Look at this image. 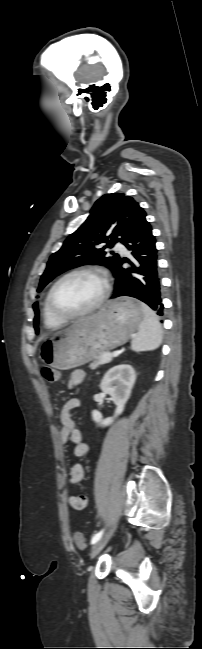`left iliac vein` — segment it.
Listing matches in <instances>:
<instances>
[{
  "mask_svg": "<svg viewBox=\"0 0 202 649\" xmlns=\"http://www.w3.org/2000/svg\"><path fill=\"white\" fill-rule=\"evenodd\" d=\"M116 529V524L112 526V528L105 534L104 537L99 539L92 547V550L90 552V557L94 558L100 551L101 549L106 545L108 540L111 538L113 535L114 531Z\"/></svg>",
  "mask_w": 202,
  "mask_h": 649,
  "instance_id": "1",
  "label": "left iliac vein"
}]
</instances>
